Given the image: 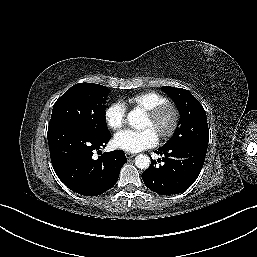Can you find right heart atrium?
I'll use <instances>...</instances> for the list:
<instances>
[{
    "label": "right heart atrium",
    "mask_w": 257,
    "mask_h": 257,
    "mask_svg": "<svg viewBox=\"0 0 257 257\" xmlns=\"http://www.w3.org/2000/svg\"><path fill=\"white\" fill-rule=\"evenodd\" d=\"M126 106L120 102L115 101L108 105L104 112V119L107 126L117 132L123 128L126 123Z\"/></svg>",
    "instance_id": "1"
}]
</instances>
